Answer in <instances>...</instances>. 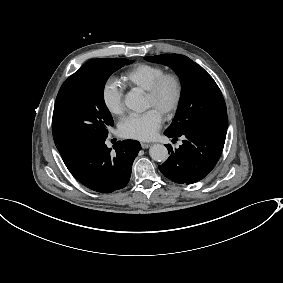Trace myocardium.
<instances>
[{"label": "myocardium", "instance_id": "f54148a6", "mask_svg": "<svg viewBox=\"0 0 283 283\" xmlns=\"http://www.w3.org/2000/svg\"><path fill=\"white\" fill-rule=\"evenodd\" d=\"M171 83L173 87V95L166 106L165 110L163 111L164 115H171L173 114L180 103L181 96H182V83L180 78L175 73H164L160 77H158L153 84L146 90V94L152 98L156 99L160 96L163 87L166 83Z\"/></svg>", "mask_w": 283, "mask_h": 283}]
</instances>
